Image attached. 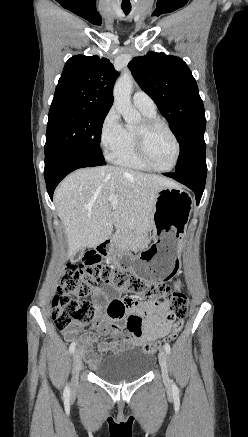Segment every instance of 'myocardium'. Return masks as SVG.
Here are the masks:
<instances>
[{"label": "myocardium", "instance_id": "myocardium-1", "mask_svg": "<svg viewBox=\"0 0 248 437\" xmlns=\"http://www.w3.org/2000/svg\"><path fill=\"white\" fill-rule=\"evenodd\" d=\"M158 127H163L164 129H166V131L172 137V139L175 143V147H176V152H175V157H174L173 163L170 167H168L166 169H160V168L155 167L150 162L148 154H147L148 137L151 134V132ZM135 144H136L137 155H138L140 161L143 163V165L147 169L155 171V172L167 173V172L172 171L177 166V163L179 161L180 154H181V145H180V142L178 140V137L176 136L174 131L171 129V127L165 121H163L159 118L144 119L142 121V123L135 129Z\"/></svg>", "mask_w": 248, "mask_h": 437}]
</instances>
